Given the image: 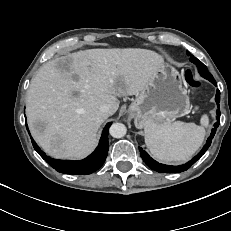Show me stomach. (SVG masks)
Masks as SVG:
<instances>
[{
    "mask_svg": "<svg viewBox=\"0 0 231 231\" xmlns=\"http://www.w3.org/2000/svg\"><path fill=\"white\" fill-rule=\"evenodd\" d=\"M189 109V98L179 72L163 64L133 100L128 112L137 128H145L149 124L171 122L186 115Z\"/></svg>",
    "mask_w": 231,
    "mask_h": 231,
    "instance_id": "1",
    "label": "stomach"
}]
</instances>
